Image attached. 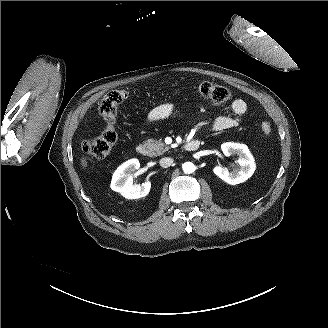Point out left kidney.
Segmentation results:
<instances>
[{
	"label": "left kidney",
	"instance_id": "left-kidney-1",
	"mask_svg": "<svg viewBox=\"0 0 328 328\" xmlns=\"http://www.w3.org/2000/svg\"><path fill=\"white\" fill-rule=\"evenodd\" d=\"M221 150L225 156H231L233 154L239 155V159L237 161L239 168L229 172L226 167L216 166L213 169V172L219 178L230 185H236L245 182L253 175L256 169V164L247 145L234 142H226L221 145Z\"/></svg>",
	"mask_w": 328,
	"mask_h": 328
}]
</instances>
